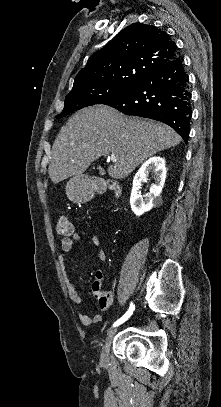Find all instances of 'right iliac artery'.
<instances>
[{"instance_id":"obj_1","label":"right iliac artery","mask_w":221,"mask_h":407,"mask_svg":"<svg viewBox=\"0 0 221 407\" xmlns=\"http://www.w3.org/2000/svg\"><path fill=\"white\" fill-rule=\"evenodd\" d=\"M134 309H135V306L133 305V303H131V304H130V307H129V309H128V311H127L119 320H117V321L113 324V326H114V327H115V326H118V325H120L121 323H123V322H125L126 320H128V318L132 315Z\"/></svg>"}]
</instances>
